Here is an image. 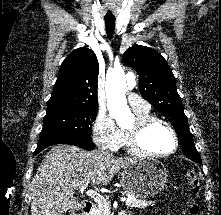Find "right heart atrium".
<instances>
[{
  "instance_id": "1",
  "label": "right heart atrium",
  "mask_w": 221,
  "mask_h": 215,
  "mask_svg": "<svg viewBox=\"0 0 221 215\" xmlns=\"http://www.w3.org/2000/svg\"><path fill=\"white\" fill-rule=\"evenodd\" d=\"M92 136L99 147L117 151L122 146L124 133L108 114L99 113L93 124Z\"/></svg>"
}]
</instances>
